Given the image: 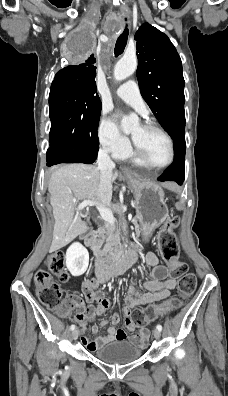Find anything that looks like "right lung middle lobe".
Masks as SVG:
<instances>
[{"instance_id":"right-lung-middle-lobe-1","label":"right lung middle lobe","mask_w":228,"mask_h":396,"mask_svg":"<svg viewBox=\"0 0 228 396\" xmlns=\"http://www.w3.org/2000/svg\"><path fill=\"white\" fill-rule=\"evenodd\" d=\"M92 49V40L80 34L75 57L84 59ZM101 106L99 97L69 85L52 84L49 94L50 148L64 151L82 163H93L99 148L97 129Z\"/></svg>"}]
</instances>
